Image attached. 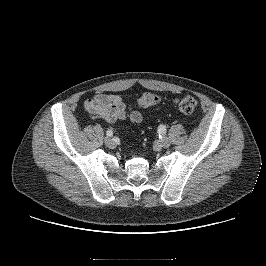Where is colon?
Returning <instances> with one entry per match:
<instances>
[{
    "instance_id": "5ec220e1",
    "label": "colon",
    "mask_w": 266,
    "mask_h": 266,
    "mask_svg": "<svg viewBox=\"0 0 266 266\" xmlns=\"http://www.w3.org/2000/svg\"><path fill=\"white\" fill-rule=\"evenodd\" d=\"M160 97L154 93H144L138 100L142 108H148L160 103ZM179 110L186 115H193L196 111L197 102L191 96H184L176 101Z\"/></svg>"
}]
</instances>
